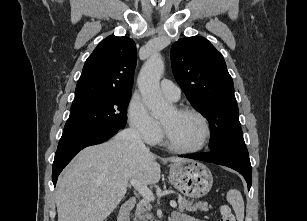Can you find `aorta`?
Instances as JSON below:
<instances>
[{
	"label": "aorta",
	"mask_w": 307,
	"mask_h": 221,
	"mask_svg": "<svg viewBox=\"0 0 307 221\" xmlns=\"http://www.w3.org/2000/svg\"><path fill=\"white\" fill-rule=\"evenodd\" d=\"M163 72L164 61L159 53H154L144 63L137 79L143 101L155 118L163 117L171 109L160 91L159 81Z\"/></svg>",
	"instance_id": "762f6f07"
}]
</instances>
